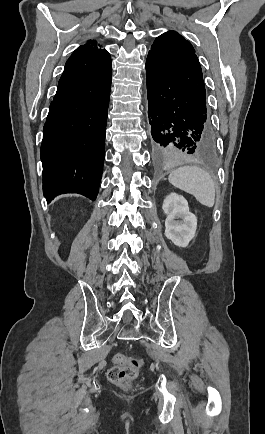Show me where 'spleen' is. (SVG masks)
Returning a JSON list of instances; mask_svg holds the SVG:
<instances>
[{"mask_svg": "<svg viewBox=\"0 0 265 434\" xmlns=\"http://www.w3.org/2000/svg\"><path fill=\"white\" fill-rule=\"evenodd\" d=\"M172 186L195 196L196 200L212 208L215 204V184L208 172L198 166H183L173 170L168 178Z\"/></svg>", "mask_w": 265, "mask_h": 434, "instance_id": "1", "label": "spleen"}]
</instances>
